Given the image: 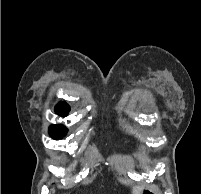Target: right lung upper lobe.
<instances>
[{
  "label": "right lung upper lobe",
  "mask_w": 201,
  "mask_h": 194,
  "mask_svg": "<svg viewBox=\"0 0 201 194\" xmlns=\"http://www.w3.org/2000/svg\"><path fill=\"white\" fill-rule=\"evenodd\" d=\"M56 112L59 113H63L65 115L68 114V112L70 111V107L66 102H60L57 106H56Z\"/></svg>",
  "instance_id": "obj_1"
}]
</instances>
